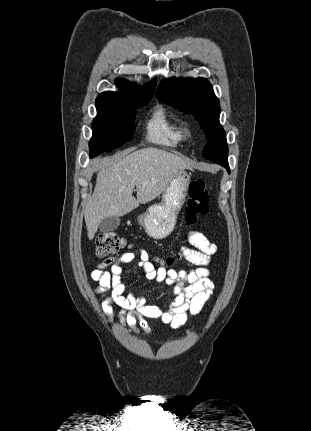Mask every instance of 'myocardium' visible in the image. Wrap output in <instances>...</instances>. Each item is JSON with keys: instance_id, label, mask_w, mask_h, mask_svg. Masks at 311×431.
<instances>
[{"instance_id": "obj_1", "label": "myocardium", "mask_w": 311, "mask_h": 431, "mask_svg": "<svg viewBox=\"0 0 311 431\" xmlns=\"http://www.w3.org/2000/svg\"><path fill=\"white\" fill-rule=\"evenodd\" d=\"M185 133L187 135V137H192L195 135L196 133V128L194 125H188L185 127Z\"/></svg>"}]
</instances>
